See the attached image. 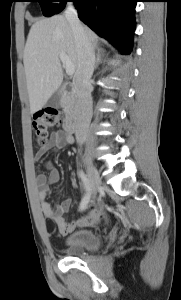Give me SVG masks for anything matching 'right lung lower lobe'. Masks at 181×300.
Here are the masks:
<instances>
[{
  "label": "right lung lower lobe",
  "instance_id": "98d812e1",
  "mask_svg": "<svg viewBox=\"0 0 181 300\" xmlns=\"http://www.w3.org/2000/svg\"><path fill=\"white\" fill-rule=\"evenodd\" d=\"M67 1L75 3L81 21L109 40L122 54L130 53L137 0H66L65 3Z\"/></svg>",
  "mask_w": 181,
  "mask_h": 300
}]
</instances>
